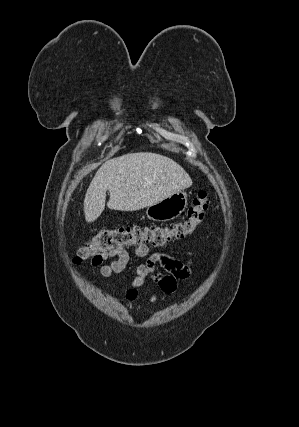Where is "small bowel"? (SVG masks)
Returning a JSON list of instances; mask_svg holds the SVG:
<instances>
[{
  "label": "small bowel",
  "instance_id": "small-bowel-1",
  "mask_svg": "<svg viewBox=\"0 0 299 427\" xmlns=\"http://www.w3.org/2000/svg\"><path fill=\"white\" fill-rule=\"evenodd\" d=\"M137 257H149L147 264H140L135 268V277L131 281L129 287L125 290L124 297L127 301H134L137 298L138 288L144 283L146 278H151L158 285L160 290L165 294L173 293L176 290L177 282L187 280L193 271V263L191 260L181 261L165 252L150 253L149 248L142 244L135 248ZM130 260V255L123 250L117 253V259L101 264V261L94 265L99 266V273L102 277H110L113 274L121 273ZM160 267L164 273L156 270ZM162 294H153L150 297L148 309L153 308V304L160 299H163Z\"/></svg>",
  "mask_w": 299,
  "mask_h": 427
}]
</instances>
